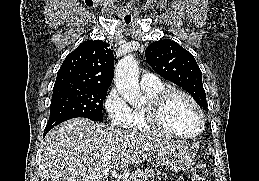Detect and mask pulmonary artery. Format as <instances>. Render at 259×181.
Masks as SVG:
<instances>
[{"instance_id": "obj_1", "label": "pulmonary artery", "mask_w": 259, "mask_h": 181, "mask_svg": "<svg viewBox=\"0 0 259 181\" xmlns=\"http://www.w3.org/2000/svg\"><path fill=\"white\" fill-rule=\"evenodd\" d=\"M158 83H160V80L152 73L143 74L140 80V85L142 88L152 87Z\"/></svg>"}]
</instances>
